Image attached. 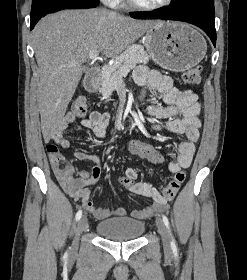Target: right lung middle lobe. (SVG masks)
Returning <instances> with one entry per match:
<instances>
[{
    "mask_svg": "<svg viewBox=\"0 0 247 280\" xmlns=\"http://www.w3.org/2000/svg\"><path fill=\"white\" fill-rule=\"evenodd\" d=\"M64 1H73V0H32L31 20L40 17L52 5ZM84 1H90L99 4V0H84Z\"/></svg>",
    "mask_w": 247,
    "mask_h": 280,
    "instance_id": "right-lung-middle-lobe-1",
    "label": "right lung middle lobe"
}]
</instances>
